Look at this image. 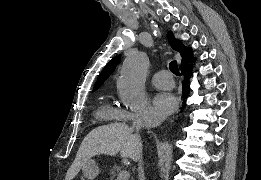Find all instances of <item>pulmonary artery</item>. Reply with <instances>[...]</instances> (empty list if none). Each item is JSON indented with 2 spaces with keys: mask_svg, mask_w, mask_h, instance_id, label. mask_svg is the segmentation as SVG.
<instances>
[{
  "mask_svg": "<svg viewBox=\"0 0 261 180\" xmlns=\"http://www.w3.org/2000/svg\"><path fill=\"white\" fill-rule=\"evenodd\" d=\"M151 82L158 87L161 88H171L173 86L172 75L167 70H161L155 73L151 77Z\"/></svg>",
  "mask_w": 261,
  "mask_h": 180,
  "instance_id": "1",
  "label": "pulmonary artery"
}]
</instances>
